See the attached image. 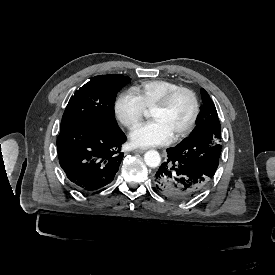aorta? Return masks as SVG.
Masks as SVG:
<instances>
[{
    "label": "aorta",
    "mask_w": 275,
    "mask_h": 275,
    "mask_svg": "<svg viewBox=\"0 0 275 275\" xmlns=\"http://www.w3.org/2000/svg\"><path fill=\"white\" fill-rule=\"evenodd\" d=\"M144 161L147 166L156 168L160 165L161 157L156 150H149L144 154Z\"/></svg>",
    "instance_id": "obj_1"
}]
</instances>
